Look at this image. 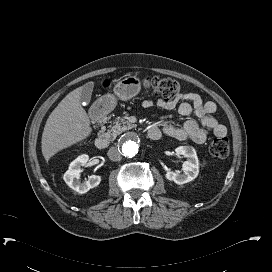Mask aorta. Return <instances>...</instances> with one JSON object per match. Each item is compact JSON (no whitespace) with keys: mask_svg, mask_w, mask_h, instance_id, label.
<instances>
[{"mask_svg":"<svg viewBox=\"0 0 272 272\" xmlns=\"http://www.w3.org/2000/svg\"><path fill=\"white\" fill-rule=\"evenodd\" d=\"M120 147L125 157L133 158L142 149V139L137 133L130 132L121 140Z\"/></svg>","mask_w":272,"mask_h":272,"instance_id":"1","label":"aorta"}]
</instances>
